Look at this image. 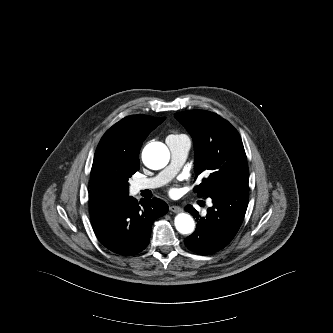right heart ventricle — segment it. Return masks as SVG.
<instances>
[{"mask_svg": "<svg viewBox=\"0 0 333 333\" xmlns=\"http://www.w3.org/2000/svg\"><path fill=\"white\" fill-rule=\"evenodd\" d=\"M168 138H175V139H180V138H187L185 135L183 134H171L168 136Z\"/></svg>", "mask_w": 333, "mask_h": 333, "instance_id": "obj_1", "label": "right heart ventricle"}]
</instances>
